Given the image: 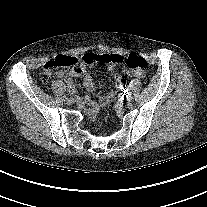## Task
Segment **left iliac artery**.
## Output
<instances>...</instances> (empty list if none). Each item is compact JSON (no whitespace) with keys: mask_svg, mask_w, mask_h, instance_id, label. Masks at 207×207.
Listing matches in <instances>:
<instances>
[{"mask_svg":"<svg viewBox=\"0 0 207 207\" xmlns=\"http://www.w3.org/2000/svg\"><path fill=\"white\" fill-rule=\"evenodd\" d=\"M132 96H133V93H132L131 91H128V92L125 94V97H126L127 99L132 98Z\"/></svg>","mask_w":207,"mask_h":207,"instance_id":"44dca946","label":"left iliac artery"}]
</instances>
